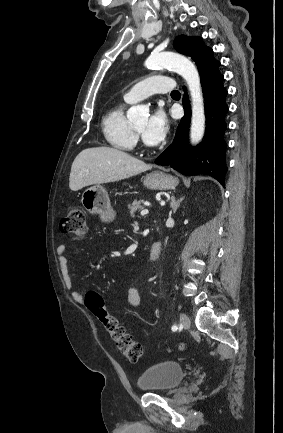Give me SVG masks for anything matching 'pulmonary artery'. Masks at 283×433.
Masks as SVG:
<instances>
[{
	"label": "pulmonary artery",
	"mask_w": 283,
	"mask_h": 433,
	"mask_svg": "<svg viewBox=\"0 0 283 433\" xmlns=\"http://www.w3.org/2000/svg\"><path fill=\"white\" fill-rule=\"evenodd\" d=\"M178 88L171 78H164L163 72H154L153 77L144 78L131 87L124 94V99L128 103H134L154 93L175 92Z\"/></svg>",
	"instance_id": "obj_1"
}]
</instances>
